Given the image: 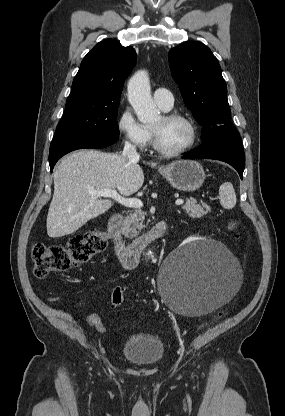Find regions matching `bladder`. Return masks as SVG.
I'll use <instances>...</instances> for the list:
<instances>
[{
	"label": "bladder",
	"mask_w": 285,
	"mask_h": 416,
	"mask_svg": "<svg viewBox=\"0 0 285 416\" xmlns=\"http://www.w3.org/2000/svg\"><path fill=\"white\" fill-rule=\"evenodd\" d=\"M121 353L133 363H154L161 360L165 350L159 336L134 333L124 342Z\"/></svg>",
	"instance_id": "bladder-1"
}]
</instances>
